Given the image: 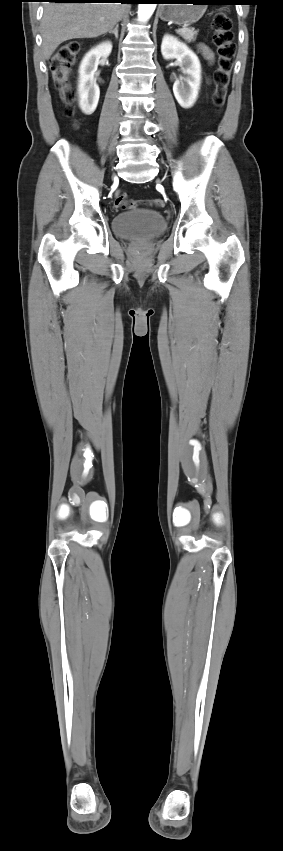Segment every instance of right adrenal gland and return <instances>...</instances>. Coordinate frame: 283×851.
<instances>
[{"instance_id":"obj_1","label":"right adrenal gland","mask_w":283,"mask_h":851,"mask_svg":"<svg viewBox=\"0 0 283 851\" xmlns=\"http://www.w3.org/2000/svg\"><path fill=\"white\" fill-rule=\"evenodd\" d=\"M118 28H119V25L117 24V25L115 26V28H114L113 30H110L108 33H109V34H114V35H115V38H116V39H118Z\"/></svg>"}]
</instances>
